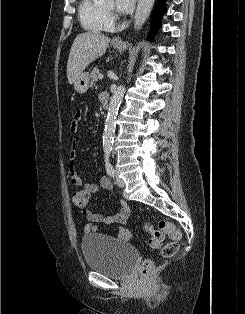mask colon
Returning <instances> with one entry per match:
<instances>
[{
  "mask_svg": "<svg viewBox=\"0 0 245 314\" xmlns=\"http://www.w3.org/2000/svg\"><path fill=\"white\" fill-rule=\"evenodd\" d=\"M89 194L85 190L77 191L72 196L74 205L80 209H84L89 201ZM145 231L150 235L149 244L153 248H160L163 257H171L178 250V244L181 240L180 230L171 222L162 220L159 222L158 229H154L151 224L146 223ZM164 234H168L171 241L162 245ZM153 268L150 260H146L141 264L140 270L143 277H145Z\"/></svg>",
  "mask_w": 245,
  "mask_h": 314,
  "instance_id": "5ec220e1",
  "label": "colon"
}]
</instances>
